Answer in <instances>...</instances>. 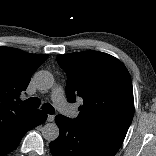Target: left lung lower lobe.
I'll list each match as a JSON object with an SVG mask.
<instances>
[{
	"label": "left lung lower lobe",
	"mask_w": 156,
	"mask_h": 156,
	"mask_svg": "<svg viewBox=\"0 0 156 156\" xmlns=\"http://www.w3.org/2000/svg\"><path fill=\"white\" fill-rule=\"evenodd\" d=\"M55 121L60 134L50 143L53 156H114L122 144L109 134L78 127L63 115Z\"/></svg>",
	"instance_id": "0a47b994"
}]
</instances>
